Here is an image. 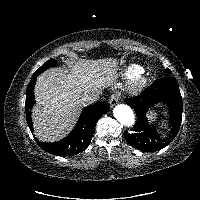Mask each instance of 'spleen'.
Here are the masks:
<instances>
[{
  "mask_svg": "<svg viewBox=\"0 0 200 200\" xmlns=\"http://www.w3.org/2000/svg\"><path fill=\"white\" fill-rule=\"evenodd\" d=\"M147 117H148V120H149L150 122H153V121L156 120L157 115H156L155 112H153V111H152V112L149 111V113L147 114Z\"/></svg>",
  "mask_w": 200,
  "mask_h": 200,
  "instance_id": "spleen-1",
  "label": "spleen"
}]
</instances>
